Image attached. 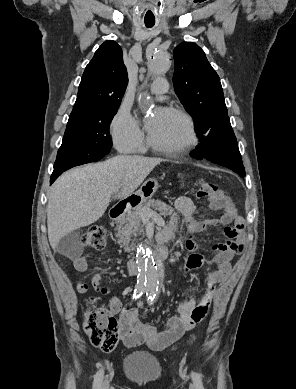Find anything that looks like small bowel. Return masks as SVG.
<instances>
[{"mask_svg": "<svg viewBox=\"0 0 296 389\" xmlns=\"http://www.w3.org/2000/svg\"><path fill=\"white\" fill-rule=\"evenodd\" d=\"M174 207L178 215L184 216L188 221L189 237L186 246L190 250L200 247L195 240V235L208 228L219 227V232L224 237V241L215 243L211 250L215 253L212 262L217 268L207 274L206 288L198 302L186 301L180 304L175 315L171 316L162 326L142 323L138 319V308L122 310L121 300L117 296H111L107 309L110 314L120 313L121 340L129 347H136L146 343L154 351H162L179 340L185 332L191 330L196 322L192 320L194 312H207L213 298L216 286L224 281L231 272L230 260L236 254L243 252L245 248V238L243 234L244 224L241 217L236 213L232 203L224 198L221 203H213L211 207L222 211L219 218L199 220L196 217V208L193 201L188 197H178L174 202ZM233 223V225H231ZM178 231L177 218L174 217L163 228L158 238L172 240ZM208 260L200 254H193L187 260V270L197 269ZM78 271L87 268V255H79L74 262ZM101 274H95L91 279V286L103 295L109 294L107 287L103 286ZM78 292L84 293L88 289L86 283L78 282L76 286ZM141 302L139 303V306Z\"/></svg>", "mask_w": 296, "mask_h": 389, "instance_id": "c3829d8e", "label": "small bowel"}]
</instances>
